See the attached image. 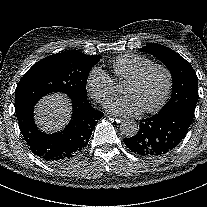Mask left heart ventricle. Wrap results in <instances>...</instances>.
I'll return each mask as SVG.
<instances>
[{
	"instance_id": "obj_1",
	"label": "left heart ventricle",
	"mask_w": 207,
	"mask_h": 207,
	"mask_svg": "<svg viewBox=\"0 0 207 207\" xmlns=\"http://www.w3.org/2000/svg\"><path fill=\"white\" fill-rule=\"evenodd\" d=\"M166 84L165 73L158 68H154L138 83H125L123 93L131 97L142 112L153 108L159 103L165 92Z\"/></svg>"
}]
</instances>
